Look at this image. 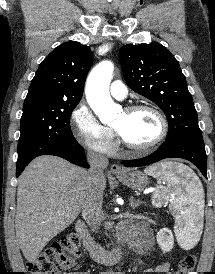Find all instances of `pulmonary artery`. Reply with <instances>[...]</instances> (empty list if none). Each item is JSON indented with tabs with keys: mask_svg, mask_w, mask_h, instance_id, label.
<instances>
[{
	"mask_svg": "<svg viewBox=\"0 0 215 274\" xmlns=\"http://www.w3.org/2000/svg\"><path fill=\"white\" fill-rule=\"evenodd\" d=\"M110 94L117 100H123L127 96V88L121 81H113L110 86Z\"/></svg>",
	"mask_w": 215,
	"mask_h": 274,
	"instance_id": "e3ab8cb5",
	"label": "pulmonary artery"
}]
</instances>
